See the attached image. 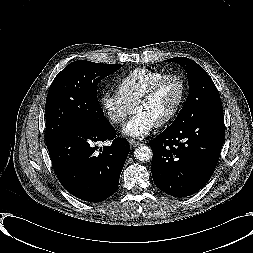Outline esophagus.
I'll return each instance as SVG.
<instances>
[{
	"label": "esophagus",
	"instance_id": "esophagus-1",
	"mask_svg": "<svg viewBox=\"0 0 253 253\" xmlns=\"http://www.w3.org/2000/svg\"><path fill=\"white\" fill-rule=\"evenodd\" d=\"M129 143L132 147H137L141 144L139 141H136L134 139H129Z\"/></svg>",
	"mask_w": 253,
	"mask_h": 253
}]
</instances>
